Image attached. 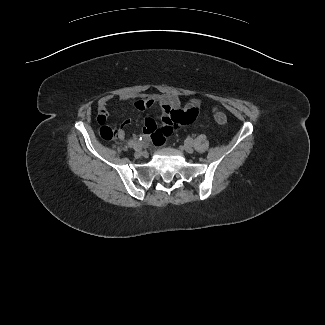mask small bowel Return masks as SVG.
Returning <instances> with one entry per match:
<instances>
[{"instance_id":"1","label":"small bowel","mask_w":325,"mask_h":325,"mask_svg":"<svg viewBox=\"0 0 325 325\" xmlns=\"http://www.w3.org/2000/svg\"><path fill=\"white\" fill-rule=\"evenodd\" d=\"M113 99L112 95H105L100 98L98 102L97 122L103 127L106 126L109 112L108 104ZM118 100L121 102L134 101V108L139 112H145L158 105L161 110V124L162 128L158 130V122L153 116H147L143 122V131L145 134L151 136L155 144L164 143L166 137L170 135L173 130L180 126L189 125L195 121L198 116L200 101L193 99L184 108L178 110L181 102L180 98L175 94H147V95H128L120 94ZM132 120L126 118L119 128V135L117 137H124L123 127L130 125ZM100 128V129H101Z\"/></svg>"}]
</instances>
